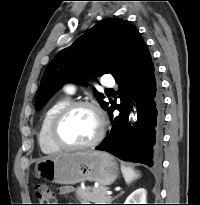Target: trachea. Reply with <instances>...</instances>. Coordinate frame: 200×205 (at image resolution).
Segmentation results:
<instances>
[{
	"mask_svg": "<svg viewBox=\"0 0 200 205\" xmlns=\"http://www.w3.org/2000/svg\"><path fill=\"white\" fill-rule=\"evenodd\" d=\"M107 91H111V89H107Z\"/></svg>",
	"mask_w": 200,
	"mask_h": 205,
	"instance_id": "trachea-1",
	"label": "trachea"
}]
</instances>
